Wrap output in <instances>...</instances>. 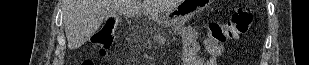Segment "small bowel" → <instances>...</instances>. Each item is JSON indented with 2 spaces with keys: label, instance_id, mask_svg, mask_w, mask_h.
Returning a JSON list of instances; mask_svg holds the SVG:
<instances>
[{
  "label": "small bowel",
  "instance_id": "c3829d8e",
  "mask_svg": "<svg viewBox=\"0 0 309 65\" xmlns=\"http://www.w3.org/2000/svg\"><path fill=\"white\" fill-rule=\"evenodd\" d=\"M183 45L185 50L184 65H217V60L225 52L224 44L210 39L200 40L193 28H186ZM201 45L208 51L207 55L198 54Z\"/></svg>",
  "mask_w": 309,
  "mask_h": 65
}]
</instances>
